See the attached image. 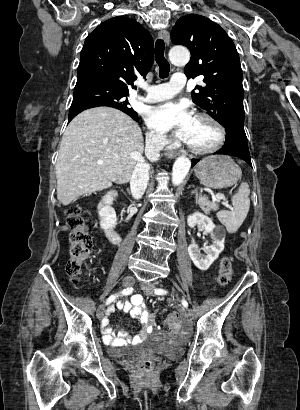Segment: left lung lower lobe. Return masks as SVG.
<instances>
[{"label":"left lung lower lobe","mask_w":300,"mask_h":410,"mask_svg":"<svg viewBox=\"0 0 300 410\" xmlns=\"http://www.w3.org/2000/svg\"><path fill=\"white\" fill-rule=\"evenodd\" d=\"M225 129V144L219 151L215 152L214 154H226L239 157L246 161L250 166H252L244 128L230 125ZM198 161L199 159H193L192 166L195 165Z\"/></svg>","instance_id":"left-lung-lower-lobe-1"}]
</instances>
